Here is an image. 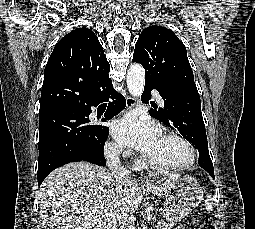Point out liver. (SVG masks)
<instances>
[{
	"mask_svg": "<svg viewBox=\"0 0 255 229\" xmlns=\"http://www.w3.org/2000/svg\"><path fill=\"white\" fill-rule=\"evenodd\" d=\"M134 178H115L89 162H72L50 173L38 192L49 229H111L142 202Z\"/></svg>",
	"mask_w": 255,
	"mask_h": 229,
	"instance_id": "1",
	"label": "liver"
}]
</instances>
